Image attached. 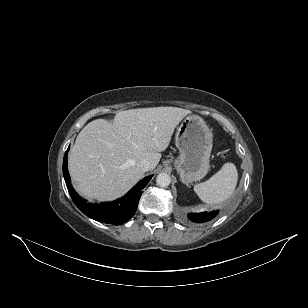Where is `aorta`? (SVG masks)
<instances>
[{
    "label": "aorta",
    "instance_id": "aorta-1",
    "mask_svg": "<svg viewBox=\"0 0 308 308\" xmlns=\"http://www.w3.org/2000/svg\"><path fill=\"white\" fill-rule=\"evenodd\" d=\"M170 176L167 173H160L156 177V183L160 187H167L170 184Z\"/></svg>",
    "mask_w": 308,
    "mask_h": 308
}]
</instances>
